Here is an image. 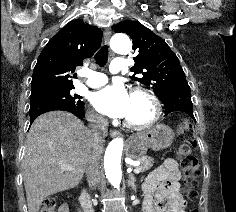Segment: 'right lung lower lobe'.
<instances>
[{
    "label": "right lung lower lobe",
    "mask_w": 236,
    "mask_h": 212,
    "mask_svg": "<svg viewBox=\"0 0 236 212\" xmlns=\"http://www.w3.org/2000/svg\"><path fill=\"white\" fill-rule=\"evenodd\" d=\"M55 110H63V111L71 112L80 119L85 117L84 106L77 107V106L62 105V104L52 103V102L36 101V102H31V105H30V110H29L30 124H32L33 121L39 115L49 112V111H55Z\"/></svg>",
    "instance_id": "right-lung-lower-lobe-1"
}]
</instances>
